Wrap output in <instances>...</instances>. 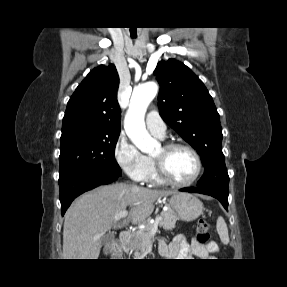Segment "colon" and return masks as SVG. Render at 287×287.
I'll list each match as a JSON object with an SVG mask.
<instances>
[{
    "label": "colon",
    "instance_id": "obj_1",
    "mask_svg": "<svg viewBox=\"0 0 287 287\" xmlns=\"http://www.w3.org/2000/svg\"><path fill=\"white\" fill-rule=\"evenodd\" d=\"M197 241L202 244H208L210 239V225L205 219H200L197 224Z\"/></svg>",
    "mask_w": 287,
    "mask_h": 287
}]
</instances>
